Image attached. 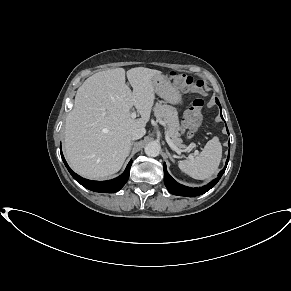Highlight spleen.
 Returning a JSON list of instances; mask_svg holds the SVG:
<instances>
[{
    "label": "spleen",
    "instance_id": "spleen-1",
    "mask_svg": "<svg viewBox=\"0 0 291 291\" xmlns=\"http://www.w3.org/2000/svg\"><path fill=\"white\" fill-rule=\"evenodd\" d=\"M222 157V146L217 137L209 140L202 152L195 158L181 160V171L198 180H205L217 171Z\"/></svg>",
    "mask_w": 291,
    "mask_h": 291
}]
</instances>
